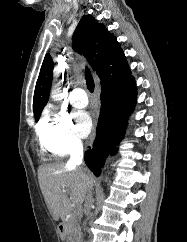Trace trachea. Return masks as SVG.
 Instances as JSON below:
<instances>
[{
	"label": "trachea",
	"mask_w": 187,
	"mask_h": 242,
	"mask_svg": "<svg viewBox=\"0 0 187 242\" xmlns=\"http://www.w3.org/2000/svg\"><path fill=\"white\" fill-rule=\"evenodd\" d=\"M86 84H87V88H88V90H89L91 93H93V92H94L95 84H94L93 77H92L91 72H90V70L88 69V67H86Z\"/></svg>",
	"instance_id": "3493384b"
}]
</instances>
